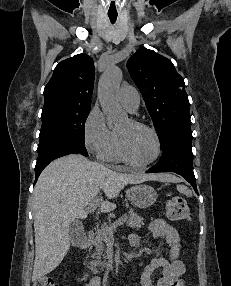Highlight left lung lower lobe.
I'll use <instances>...</instances> for the list:
<instances>
[{"label":"left lung lower lobe","instance_id":"obj_1","mask_svg":"<svg viewBox=\"0 0 231 286\" xmlns=\"http://www.w3.org/2000/svg\"><path fill=\"white\" fill-rule=\"evenodd\" d=\"M159 140L162 147L161 159L146 173L175 172L184 177L198 194L193 172L191 128H171Z\"/></svg>","mask_w":231,"mask_h":286}]
</instances>
